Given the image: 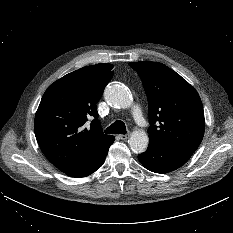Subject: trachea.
<instances>
[{
	"label": "trachea",
	"mask_w": 233,
	"mask_h": 233,
	"mask_svg": "<svg viewBox=\"0 0 233 233\" xmlns=\"http://www.w3.org/2000/svg\"><path fill=\"white\" fill-rule=\"evenodd\" d=\"M105 133H107V134H126L125 124L121 120H117L105 130Z\"/></svg>",
	"instance_id": "trachea-1"
}]
</instances>
